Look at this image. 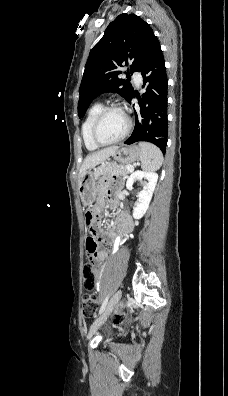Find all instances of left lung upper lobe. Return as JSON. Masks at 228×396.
Here are the masks:
<instances>
[{
    "instance_id": "obj_1",
    "label": "left lung upper lobe",
    "mask_w": 228,
    "mask_h": 396,
    "mask_svg": "<svg viewBox=\"0 0 228 396\" xmlns=\"http://www.w3.org/2000/svg\"><path fill=\"white\" fill-rule=\"evenodd\" d=\"M152 28L135 14H121L111 22L91 49L79 88L78 115H85L91 101L103 92H116L129 101L133 87L119 79L121 67L140 71L154 40ZM129 77V72L126 73Z\"/></svg>"
}]
</instances>
